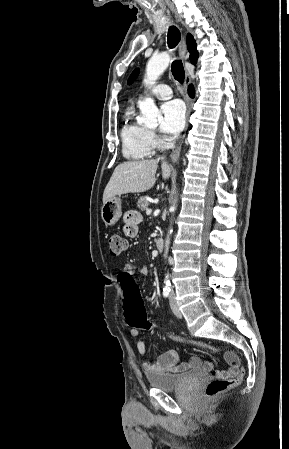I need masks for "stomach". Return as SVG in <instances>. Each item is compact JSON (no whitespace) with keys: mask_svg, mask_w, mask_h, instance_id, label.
I'll list each match as a JSON object with an SVG mask.
<instances>
[{"mask_svg":"<svg viewBox=\"0 0 289 449\" xmlns=\"http://www.w3.org/2000/svg\"><path fill=\"white\" fill-rule=\"evenodd\" d=\"M121 199L120 197H112L108 199L102 206L101 217L108 226L114 225L121 217Z\"/></svg>","mask_w":289,"mask_h":449,"instance_id":"1","label":"stomach"}]
</instances>
